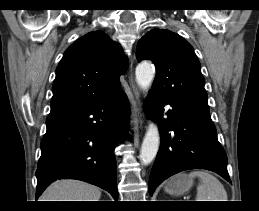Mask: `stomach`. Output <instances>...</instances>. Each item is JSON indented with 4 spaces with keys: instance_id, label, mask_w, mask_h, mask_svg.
Here are the masks:
<instances>
[{
    "instance_id": "0dacf381",
    "label": "stomach",
    "mask_w": 259,
    "mask_h": 211,
    "mask_svg": "<svg viewBox=\"0 0 259 211\" xmlns=\"http://www.w3.org/2000/svg\"><path fill=\"white\" fill-rule=\"evenodd\" d=\"M193 186V179L186 174H178L166 183L164 189L171 195H183Z\"/></svg>"
}]
</instances>
